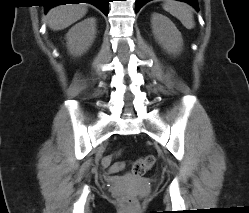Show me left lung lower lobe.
Segmentation results:
<instances>
[{
	"label": "left lung lower lobe",
	"instance_id": "0a47b994",
	"mask_svg": "<svg viewBox=\"0 0 249 213\" xmlns=\"http://www.w3.org/2000/svg\"><path fill=\"white\" fill-rule=\"evenodd\" d=\"M150 0H136V6H135V11L138 12L139 9ZM179 1H184L187 2L189 4H191L192 6H194L196 9H198V5H197V0H179Z\"/></svg>",
	"mask_w": 249,
	"mask_h": 213
}]
</instances>
